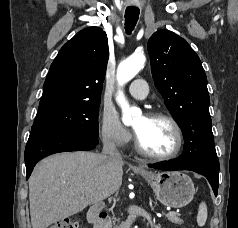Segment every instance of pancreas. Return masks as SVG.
Here are the masks:
<instances>
[{
    "label": "pancreas",
    "instance_id": "cf45deb5",
    "mask_svg": "<svg viewBox=\"0 0 238 228\" xmlns=\"http://www.w3.org/2000/svg\"><path fill=\"white\" fill-rule=\"evenodd\" d=\"M167 219L169 221H171L173 224H176V225H182L184 222L182 219H180L178 216H170V215H167L166 216ZM117 221V219L115 217H113V223L115 224V222Z\"/></svg>",
    "mask_w": 238,
    "mask_h": 228
}]
</instances>
